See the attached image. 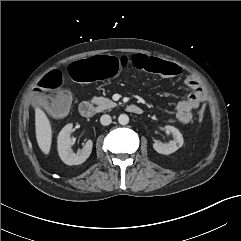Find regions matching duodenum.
<instances>
[{"instance_id": "duodenum-1", "label": "duodenum", "mask_w": 241, "mask_h": 241, "mask_svg": "<svg viewBox=\"0 0 241 241\" xmlns=\"http://www.w3.org/2000/svg\"><path fill=\"white\" fill-rule=\"evenodd\" d=\"M127 110L133 114H141L143 112L142 108L131 104L127 106ZM95 108L90 101H82L79 105V113L85 118H90L94 115Z\"/></svg>"}]
</instances>
